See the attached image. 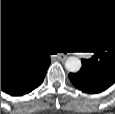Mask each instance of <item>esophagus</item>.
<instances>
[{
    "label": "esophagus",
    "instance_id": "esophagus-1",
    "mask_svg": "<svg viewBox=\"0 0 115 114\" xmlns=\"http://www.w3.org/2000/svg\"><path fill=\"white\" fill-rule=\"evenodd\" d=\"M57 59L59 60V61H65V59H66V57L65 56H58L57 57Z\"/></svg>",
    "mask_w": 115,
    "mask_h": 114
}]
</instances>
